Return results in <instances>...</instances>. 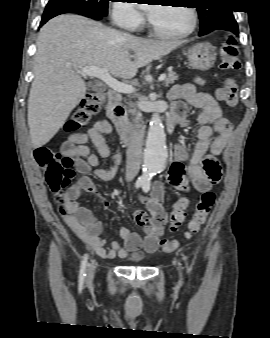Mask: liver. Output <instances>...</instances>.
<instances>
[{"mask_svg":"<svg viewBox=\"0 0 270 338\" xmlns=\"http://www.w3.org/2000/svg\"><path fill=\"white\" fill-rule=\"evenodd\" d=\"M180 41H155L127 35L79 15L48 21L37 39L34 80L28 99V126L34 148L48 143L79 104L91 82L83 67L106 68L121 79L175 50Z\"/></svg>","mask_w":270,"mask_h":338,"instance_id":"1","label":"liver"}]
</instances>
